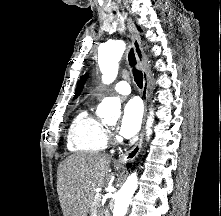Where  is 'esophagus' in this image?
Here are the masks:
<instances>
[{"label": "esophagus", "instance_id": "esophagus-1", "mask_svg": "<svg viewBox=\"0 0 221 216\" xmlns=\"http://www.w3.org/2000/svg\"><path fill=\"white\" fill-rule=\"evenodd\" d=\"M127 26L131 34L132 45L134 48L136 59L143 73V89H142L141 95L144 101V118H145L146 111H147V99L149 95V73H148V68H147V60L142 49L140 35L131 18L127 19ZM143 136H144V133L142 129L137 143L133 146L132 149H130L129 151L125 152L123 155L120 156L118 160L119 163L125 164L128 162H131L137 157L141 149L142 143H143Z\"/></svg>", "mask_w": 221, "mask_h": 216}]
</instances>
